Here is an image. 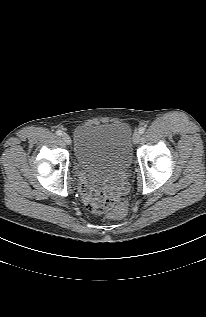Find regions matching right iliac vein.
Listing matches in <instances>:
<instances>
[{
    "label": "right iliac vein",
    "mask_w": 206,
    "mask_h": 317,
    "mask_svg": "<svg viewBox=\"0 0 206 317\" xmlns=\"http://www.w3.org/2000/svg\"><path fill=\"white\" fill-rule=\"evenodd\" d=\"M62 140H63L67 145H70V144H71V138H70L69 135H67V134H63V135H62Z\"/></svg>",
    "instance_id": "1"
}]
</instances>
